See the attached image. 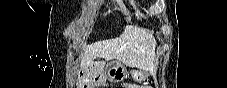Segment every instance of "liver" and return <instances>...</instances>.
Here are the masks:
<instances>
[{"mask_svg":"<svg viewBox=\"0 0 227 88\" xmlns=\"http://www.w3.org/2000/svg\"><path fill=\"white\" fill-rule=\"evenodd\" d=\"M155 46L156 40L152 34L129 25L119 37L85 46L81 67L89 66L99 57L106 61L116 59L129 67L142 68L154 56Z\"/></svg>","mask_w":227,"mask_h":88,"instance_id":"1","label":"liver"}]
</instances>
